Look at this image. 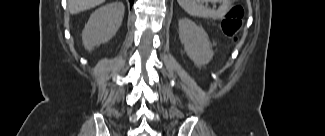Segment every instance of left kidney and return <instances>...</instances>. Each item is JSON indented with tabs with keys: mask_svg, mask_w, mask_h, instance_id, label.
<instances>
[{
	"mask_svg": "<svg viewBox=\"0 0 325 136\" xmlns=\"http://www.w3.org/2000/svg\"><path fill=\"white\" fill-rule=\"evenodd\" d=\"M179 38L185 52L196 66H203L213 58L209 37L202 27L188 18L179 20Z\"/></svg>",
	"mask_w": 325,
	"mask_h": 136,
	"instance_id": "left-kidney-1",
	"label": "left kidney"
}]
</instances>
